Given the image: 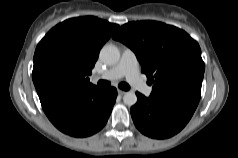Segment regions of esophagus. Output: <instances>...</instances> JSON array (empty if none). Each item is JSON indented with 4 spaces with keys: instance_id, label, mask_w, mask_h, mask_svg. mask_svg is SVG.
Instances as JSON below:
<instances>
[{
    "instance_id": "34e87169",
    "label": "esophagus",
    "mask_w": 238,
    "mask_h": 158,
    "mask_svg": "<svg viewBox=\"0 0 238 158\" xmlns=\"http://www.w3.org/2000/svg\"><path fill=\"white\" fill-rule=\"evenodd\" d=\"M125 93H126V91L121 90V89H118V94H119V95H124Z\"/></svg>"
}]
</instances>
